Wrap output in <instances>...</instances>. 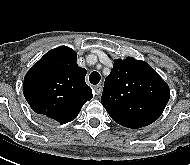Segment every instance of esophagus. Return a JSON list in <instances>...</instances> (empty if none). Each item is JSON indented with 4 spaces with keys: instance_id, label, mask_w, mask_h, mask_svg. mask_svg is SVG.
I'll use <instances>...</instances> for the list:
<instances>
[{
    "instance_id": "1",
    "label": "esophagus",
    "mask_w": 190,
    "mask_h": 165,
    "mask_svg": "<svg viewBox=\"0 0 190 165\" xmlns=\"http://www.w3.org/2000/svg\"><path fill=\"white\" fill-rule=\"evenodd\" d=\"M102 92V85L98 84L96 86H94V93L95 95L99 96Z\"/></svg>"
}]
</instances>
